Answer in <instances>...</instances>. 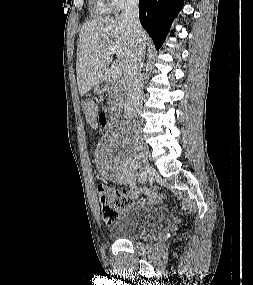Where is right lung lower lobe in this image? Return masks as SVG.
I'll use <instances>...</instances> for the list:
<instances>
[{
  "mask_svg": "<svg viewBox=\"0 0 253 285\" xmlns=\"http://www.w3.org/2000/svg\"><path fill=\"white\" fill-rule=\"evenodd\" d=\"M183 2L184 0H139V19L152 37L156 49L163 44Z\"/></svg>",
  "mask_w": 253,
  "mask_h": 285,
  "instance_id": "obj_1",
  "label": "right lung lower lobe"
}]
</instances>
